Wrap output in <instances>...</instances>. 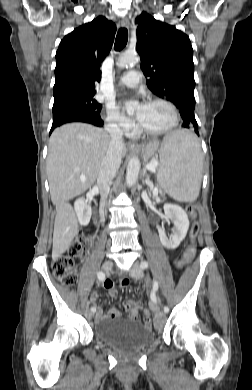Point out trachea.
Segmentation results:
<instances>
[{
	"label": "trachea",
	"instance_id": "trachea-1",
	"mask_svg": "<svg viewBox=\"0 0 252 390\" xmlns=\"http://www.w3.org/2000/svg\"><path fill=\"white\" fill-rule=\"evenodd\" d=\"M128 41V31L126 28H122L118 31L114 49L116 51H121L127 44Z\"/></svg>",
	"mask_w": 252,
	"mask_h": 390
}]
</instances>
